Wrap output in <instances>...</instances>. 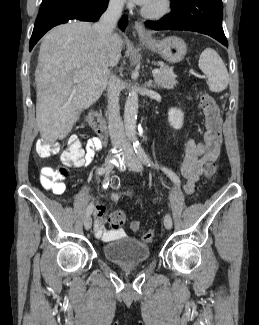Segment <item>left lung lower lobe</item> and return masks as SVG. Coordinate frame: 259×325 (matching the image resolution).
<instances>
[{"instance_id": "left-lung-lower-lobe-1", "label": "left lung lower lobe", "mask_w": 259, "mask_h": 325, "mask_svg": "<svg viewBox=\"0 0 259 325\" xmlns=\"http://www.w3.org/2000/svg\"><path fill=\"white\" fill-rule=\"evenodd\" d=\"M172 11L159 21L145 24L153 30H186L203 33L228 46L222 28L221 0H171Z\"/></svg>"}]
</instances>
